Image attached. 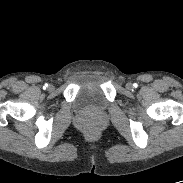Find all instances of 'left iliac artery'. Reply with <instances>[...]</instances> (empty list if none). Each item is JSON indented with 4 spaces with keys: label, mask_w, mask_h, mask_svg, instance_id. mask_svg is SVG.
I'll return each mask as SVG.
<instances>
[{
    "label": "left iliac artery",
    "mask_w": 183,
    "mask_h": 183,
    "mask_svg": "<svg viewBox=\"0 0 183 183\" xmlns=\"http://www.w3.org/2000/svg\"><path fill=\"white\" fill-rule=\"evenodd\" d=\"M133 86L136 88L138 85L136 83H134Z\"/></svg>",
    "instance_id": "obj_1"
}]
</instances>
